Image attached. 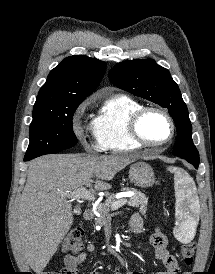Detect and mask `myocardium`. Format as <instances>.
I'll return each mask as SVG.
<instances>
[{
	"label": "myocardium",
	"instance_id": "f54148a6",
	"mask_svg": "<svg viewBox=\"0 0 215 274\" xmlns=\"http://www.w3.org/2000/svg\"><path fill=\"white\" fill-rule=\"evenodd\" d=\"M150 112H156L161 114L163 117H165V119L168 121L169 126H170V135L168 136V138L162 142L159 143H153L150 142L148 140H146L143 135L141 134L140 131V123L142 121V119ZM175 123L173 118L171 117V115L165 111L162 108L159 107H154V106H143L142 108L138 109L137 111H135L131 117L129 118L128 121V132L130 137L132 138V140L134 142H136L137 144L141 145V146H145V147H151V148H161L166 146L167 144H169L174 136H175Z\"/></svg>",
	"mask_w": 215,
	"mask_h": 274
}]
</instances>
